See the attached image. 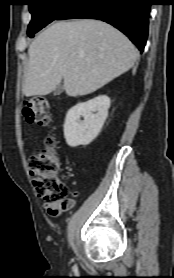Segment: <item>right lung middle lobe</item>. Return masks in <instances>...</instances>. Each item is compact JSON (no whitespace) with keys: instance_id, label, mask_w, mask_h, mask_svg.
I'll return each instance as SVG.
<instances>
[{"instance_id":"obj_1","label":"right lung middle lobe","mask_w":174,"mask_h":278,"mask_svg":"<svg viewBox=\"0 0 174 278\" xmlns=\"http://www.w3.org/2000/svg\"><path fill=\"white\" fill-rule=\"evenodd\" d=\"M76 0H28L32 20L28 26L27 34L34 37V34L47 24L56 20L63 11Z\"/></svg>"}]
</instances>
